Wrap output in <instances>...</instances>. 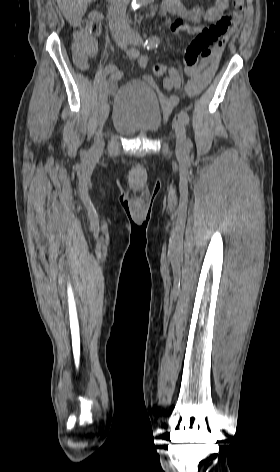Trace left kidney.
<instances>
[{
	"label": "left kidney",
	"mask_w": 280,
	"mask_h": 472,
	"mask_svg": "<svg viewBox=\"0 0 280 472\" xmlns=\"http://www.w3.org/2000/svg\"><path fill=\"white\" fill-rule=\"evenodd\" d=\"M203 10H201L199 7H197L196 9H193V13H194V18L193 20L195 22H199L200 21V16L202 14Z\"/></svg>",
	"instance_id": "obj_1"
}]
</instances>
